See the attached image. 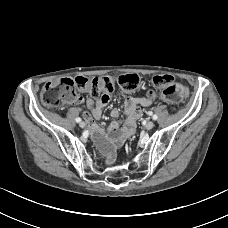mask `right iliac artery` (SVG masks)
I'll return each mask as SVG.
<instances>
[{
	"mask_svg": "<svg viewBox=\"0 0 228 228\" xmlns=\"http://www.w3.org/2000/svg\"><path fill=\"white\" fill-rule=\"evenodd\" d=\"M76 122H78V123L81 122V118H79V117L76 118Z\"/></svg>",
	"mask_w": 228,
	"mask_h": 228,
	"instance_id": "1",
	"label": "right iliac artery"
}]
</instances>
